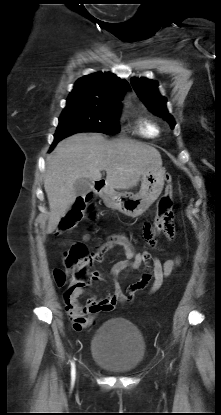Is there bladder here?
<instances>
[{
  "instance_id": "31cf9c89",
  "label": "bladder",
  "mask_w": 221,
  "mask_h": 415,
  "mask_svg": "<svg viewBox=\"0 0 221 415\" xmlns=\"http://www.w3.org/2000/svg\"><path fill=\"white\" fill-rule=\"evenodd\" d=\"M94 362L114 374L135 370L145 354V342L140 330L129 320L112 318L105 321L91 340Z\"/></svg>"
}]
</instances>
